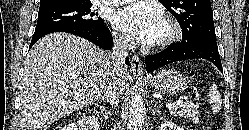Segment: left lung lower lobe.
I'll use <instances>...</instances> for the list:
<instances>
[{
  "label": "left lung lower lobe",
  "instance_id": "1",
  "mask_svg": "<svg viewBox=\"0 0 249 130\" xmlns=\"http://www.w3.org/2000/svg\"><path fill=\"white\" fill-rule=\"evenodd\" d=\"M202 58L211 61L222 73V65L216 41L194 39L172 44L163 51L145 58L147 72L176 61Z\"/></svg>",
  "mask_w": 249,
  "mask_h": 130
}]
</instances>
